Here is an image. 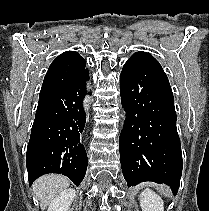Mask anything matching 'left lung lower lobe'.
I'll return each instance as SVG.
<instances>
[{
  "mask_svg": "<svg viewBox=\"0 0 209 211\" xmlns=\"http://www.w3.org/2000/svg\"><path fill=\"white\" fill-rule=\"evenodd\" d=\"M120 94L126 111L120 159L128 187L153 181L169 185L176 195L182 153L174 97L165 72L135 53L123 66Z\"/></svg>",
  "mask_w": 209,
  "mask_h": 211,
  "instance_id": "obj_1",
  "label": "left lung lower lobe"
}]
</instances>
